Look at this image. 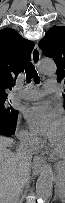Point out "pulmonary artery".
<instances>
[{
    "label": "pulmonary artery",
    "mask_w": 65,
    "mask_h": 203,
    "mask_svg": "<svg viewBox=\"0 0 65 203\" xmlns=\"http://www.w3.org/2000/svg\"><path fill=\"white\" fill-rule=\"evenodd\" d=\"M59 90L56 80L49 79L46 81L44 90L40 89H25L18 93L15 98L23 100H37L43 97L46 93H53Z\"/></svg>",
    "instance_id": "1"
}]
</instances>
